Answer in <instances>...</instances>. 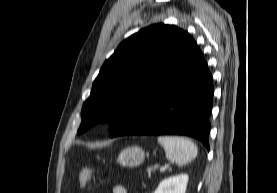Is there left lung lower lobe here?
I'll list each match as a JSON object with an SVG mask.
<instances>
[{
  "instance_id": "0a47b994",
  "label": "left lung lower lobe",
  "mask_w": 277,
  "mask_h": 193,
  "mask_svg": "<svg viewBox=\"0 0 277 193\" xmlns=\"http://www.w3.org/2000/svg\"><path fill=\"white\" fill-rule=\"evenodd\" d=\"M214 87L203 54L196 46L176 72L147 97L110 137L186 135L209 149V114Z\"/></svg>"
}]
</instances>
